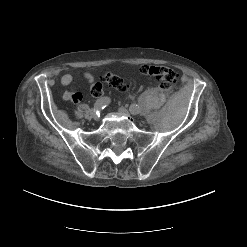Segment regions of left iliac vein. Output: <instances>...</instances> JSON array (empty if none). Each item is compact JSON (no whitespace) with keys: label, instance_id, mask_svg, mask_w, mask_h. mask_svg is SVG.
Segmentation results:
<instances>
[{"label":"left iliac vein","instance_id":"1","mask_svg":"<svg viewBox=\"0 0 247 247\" xmlns=\"http://www.w3.org/2000/svg\"><path fill=\"white\" fill-rule=\"evenodd\" d=\"M118 110L122 114H125V115H128L129 114V111L126 108H124V107H120Z\"/></svg>","mask_w":247,"mask_h":247}]
</instances>
